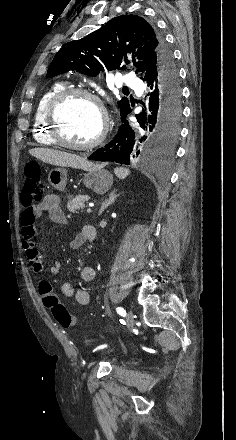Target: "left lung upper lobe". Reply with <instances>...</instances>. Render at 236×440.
I'll return each mask as SVG.
<instances>
[{
	"instance_id": "1",
	"label": "left lung upper lobe",
	"mask_w": 236,
	"mask_h": 440,
	"mask_svg": "<svg viewBox=\"0 0 236 440\" xmlns=\"http://www.w3.org/2000/svg\"><path fill=\"white\" fill-rule=\"evenodd\" d=\"M171 58L165 40L146 20L136 15H123L76 42L66 43L56 53L47 76L70 70L96 76L105 69H125L122 64L130 60L137 72L144 74L150 63ZM118 106L123 115L130 107L128 99L122 98Z\"/></svg>"
}]
</instances>
